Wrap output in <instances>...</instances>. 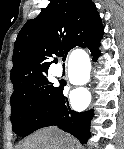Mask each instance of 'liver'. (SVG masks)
I'll return each instance as SVG.
<instances>
[{
  "mask_svg": "<svg viewBox=\"0 0 124 149\" xmlns=\"http://www.w3.org/2000/svg\"><path fill=\"white\" fill-rule=\"evenodd\" d=\"M76 140L53 128L42 129L29 136L21 149H74Z\"/></svg>",
  "mask_w": 124,
  "mask_h": 149,
  "instance_id": "obj_1",
  "label": "liver"
}]
</instances>
